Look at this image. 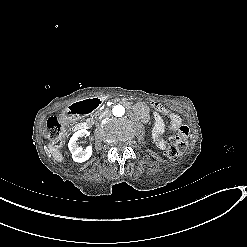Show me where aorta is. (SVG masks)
<instances>
[{
	"instance_id": "762f6f07",
	"label": "aorta",
	"mask_w": 247,
	"mask_h": 247,
	"mask_svg": "<svg viewBox=\"0 0 247 247\" xmlns=\"http://www.w3.org/2000/svg\"><path fill=\"white\" fill-rule=\"evenodd\" d=\"M112 113L116 117H122L125 114V108L122 105H116L113 107Z\"/></svg>"
}]
</instances>
